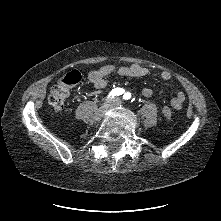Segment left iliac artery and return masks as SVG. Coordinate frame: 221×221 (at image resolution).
Returning a JSON list of instances; mask_svg holds the SVG:
<instances>
[{
    "mask_svg": "<svg viewBox=\"0 0 221 221\" xmlns=\"http://www.w3.org/2000/svg\"><path fill=\"white\" fill-rule=\"evenodd\" d=\"M130 97H131L130 93H125L123 96L124 99H129Z\"/></svg>",
    "mask_w": 221,
    "mask_h": 221,
    "instance_id": "left-iliac-artery-1",
    "label": "left iliac artery"
}]
</instances>
